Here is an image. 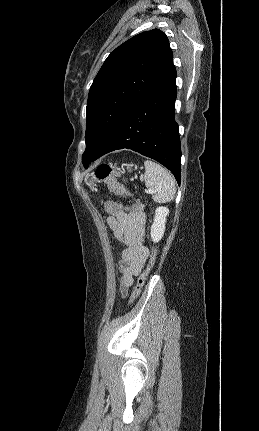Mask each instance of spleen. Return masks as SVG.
Segmentation results:
<instances>
[{"mask_svg":"<svg viewBox=\"0 0 259 431\" xmlns=\"http://www.w3.org/2000/svg\"><path fill=\"white\" fill-rule=\"evenodd\" d=\"M145 185L152 194L153 200L166 203L174 200L176 194L175 181L172 175L158 163L146 160Z\"/></svg>","mask_w":259,"mask_h":431,"instance_id":"spleen-1","label":"spleen"}]
</instances>
